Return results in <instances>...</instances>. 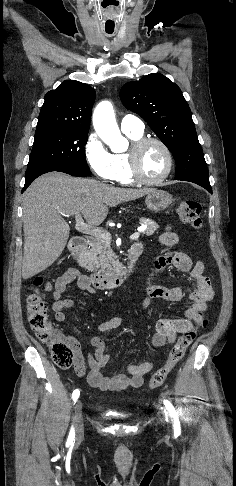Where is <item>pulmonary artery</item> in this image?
<instances>
[{
	"label": "pulmonary artery",
	"instance_id": "obj_1",
	"mask_svg": "<svg viewBox=\"0 0 236 486\" xmlns=\"http://www.w3.org/2000/svg\"><path fill=\"white\" fill-rule=\"evenodd\" d=\"M120 127L124 133L142 134L145 126L140 118L127 114L122 118Z\"/></svg>",
	"mask_w": 236,
	"mask_h": 486
}]
</instances>
